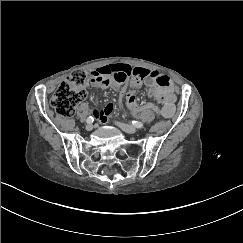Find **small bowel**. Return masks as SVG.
<instances>
[{
    "label": "small bowel",
    "mask_w": 243,
    "mask_h": 243,
    "mask_svg": "<svg viewBox=\"0 0 243 243\" xmlns=\"http://www.w3.org/2000/svg\"><path fill=\"white\" fill-rule=\"evenodd\" d=\"M136 72L144 74L143 81L151 87V97L157 99L161 106L159 109L163 117H172L175 112V93L171 80L158 71H150L144 68H132L123 63L111 64L97 68L89 73L92 85L100 88L114 87L117 88L123 84L128 77L133 76ZM114 105L107 104L102 109H94V115L99 121H105L107 116L114 112Z\"/></svg>",
    "instance_id": "small-bowel-1"
}]
</instances>
